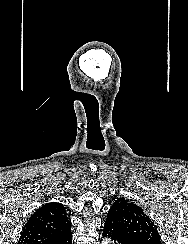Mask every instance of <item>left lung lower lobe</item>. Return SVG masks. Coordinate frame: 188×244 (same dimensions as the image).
Segmentation results:
<instances>
[{"mask_svg": "<svg viewBox=\"0 0 188 244\" xmlns=\"http://www.w3.org/2000/svg\"><path fill=\"white\" fill-rule=\"evenodd\" d=\"M103 237L110 238L115 244H138L127 237L116 217L111 213H108L107 215V219L103 227Z\"/></svg>", "mask_w": 188, "mask_h": 244, "instance_id": "obj_1", "label": "left lung lower lobe"}]
</instances>
